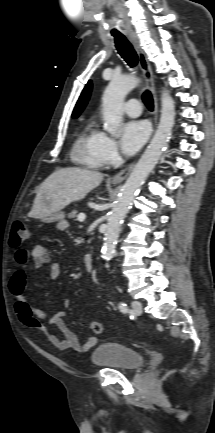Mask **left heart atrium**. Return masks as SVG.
<instances>
[{
  "label": "left heart atrium",
  "instance_id": "39dd6f15",
  "mask_svg": "<svg viewBox=\"0 0 215 433\" xmlns=\"http://www.w3.org/2000/svg\"><path fill=\"white\" fill-rule=\"evenodd\" d=\"M149 135V126L145 121L132 120L122 127L121 148L127 155L137 152Z\"/></svg>",
  "mask_w": 215,
  "mask_h": 433
}]
</instances>
